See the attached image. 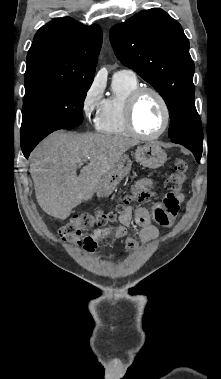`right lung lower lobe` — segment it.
<instances>
[{"mask_svg":"<svg viewBox=\"0 0 221 379\" xmlns=\"http://www.w3.org/2000/svg\"><path fill=\"white\" fill-rule=\"evenodd\" d=\"M43 138H39L33 141V139H30L29 141L26 139H21V148L24 156L26 158L29 157L30 152L34 149V147L39 143L40 140Z\"/></svg>","mask_w":221,"mask_h":379,"instance_id":"98d812e1","label":"right lung lower lobe"}]
</instances>
